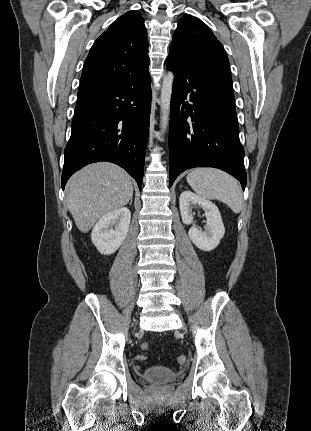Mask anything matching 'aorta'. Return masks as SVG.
Here are the masks:
<instances>
[{
	"mask_svg": "<svg viewBox=\"0 0 311 431\" xmlns=\"http://www.w3.org/2000/svg\"><path fill=\"white\" fill-rule=\"evenodd\" d=\"M174 76L172 72H168L163 78L161 88V132H166L169 122V112L171 104V94Z\"/></svg>",
	"mask_w": 311,
	"mask_h": 431,
	"instance_id": "aorta-1",
	"label": "aorta"
}]
</instances>
